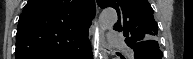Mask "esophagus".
Segmentation results:
<instances>
[{
  "mask_svg": "<svg viewBox=\"0 0 193 59\" xmlns=\"http://www.w3.org/2000/svg\"><path fill=\"white\" fill-rule=\"evenodd\" d=\"M92 44H93V55L94 58L97 59L99 55V46H100V28L98 21L95 22Z\"/></svg>",
  "mask_w": 193,
  "mask_h": 59,
  "instance_id": "obj_1",
  "label": "esophagus"
}]
</instances>
